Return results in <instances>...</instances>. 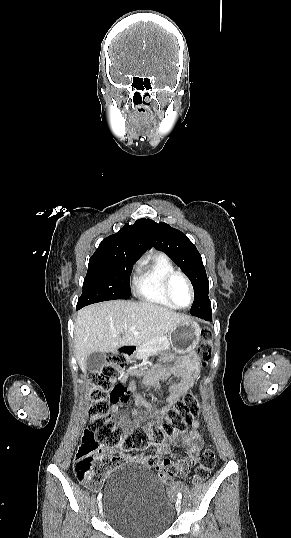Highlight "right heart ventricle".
I'll use <instances>...</instances> for the list:
<instances>
[{
    "label": "right heart ventricle",
    "mask_w": 291,
    "mask_h": 538,
    "mask_svg": "<svg viewBox=\"0 0 291 538\" xmlns=\"http://www.w3.org/2000/svg\"><path fill=\"white\" fill-rule=\"evenodd\" d=\"M176 271L171 259L162 252L150 254L138 267L134 279L135 292L143 301L175 308L164 291L166 276Z\"/></svg>",
    "instance_id": "right-heart-ventricle-1"
}]
</instances>
